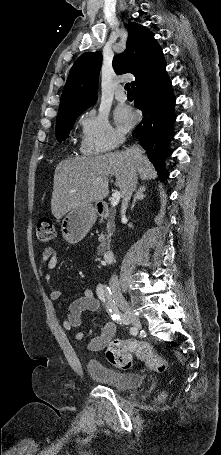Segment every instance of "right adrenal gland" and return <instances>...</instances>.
Masks as SVG:
<instances>
[{"mask_svg":"<svg viewBox=\"0 0 221 455\" xmlns=\"http://www.w3.org/2000/svg\"><path fill=\"white\" fill-rule=\"evenodd\" d=\"M146 190L145 186H139L138 190L136 191V194L133 198V201H132V204H131V209L134 208L136 202L138 200H143L145 195H144V191Z\"/></svg>","mask_w":221,"mask_h":455,"instance_id":"1","label":"right adrenal gland"}]
</instances>
